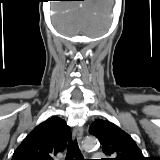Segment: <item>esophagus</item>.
I'll return each instance as SVG.
<instances>
[{"mask_svg": "<svg viewBox=\"0 0 160 160\" xmlns=\"http://www.w3.org/2000/svg\"><path fill=\"white\" fill-rule=\"evenodd\" d=\"M73 137L81 142L83 137V128L81 126H76L73 130Z\"/></svg>", "mask_w": 160, "mask_h": 160, "instance_id": "esophagus-1", "label": "esophagus"}]
</instances>
